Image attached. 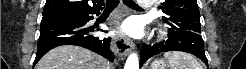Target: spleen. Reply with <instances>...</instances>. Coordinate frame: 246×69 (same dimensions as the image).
<instances>
[{
	"label": "spleen",
	"instance_id": "obj_1",
	"mask_svg": "<svg viewBox=\"0 0 246 69\" xmlns=\"http://www.w3.org/2000/svg\"><path fill=\"white\" fill-rule=\"evenodd\" d=\"M164 57L168 59L171 69H203L197 59L188 53L166 52Z\"/></svg>",
	"mask_w": 246,
	"mask_h": 69
}]
</instances>
